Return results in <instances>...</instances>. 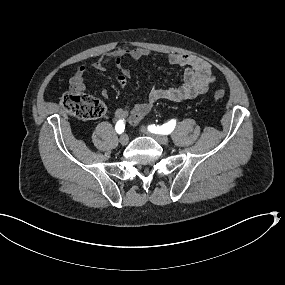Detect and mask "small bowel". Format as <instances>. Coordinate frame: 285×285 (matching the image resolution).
<instances>
[{"mask_svg":"<svg viewBox=\"0 0 285 285\" xmlns=\"http://www.w3.org/2000/svg\"><path fill=\"white\" fill-rule=\"evenodd\" d=\"M149 53V50L140 47H120L100 56L98 60L93 63L92 67L96 71H103L107 64L113 61L120 71L117 81L119 85L124 88L129 78V70L123 65V58L129 57L134 60H139L147 57ZM168 61L172 65L186 68L183 83L176 88H152L145 101L133 106L126 103L117 108L114 112V117L116 119L122 120L129 116V123L136 126L152 110L153 106L158 101L168 100L172 102H181L193 99L206 93L215 80L211 65L200 57L190 54L170 53L168 55ZM86 72L87 69L85 66H80L75 71L70 79L71 91L81 92L85 89ZM101 96L108 98V91L102 89Z\"/></svg>","mask_w":285,"mask_h":285,"instance_id":"c3829d8e","label":"small bowel"}]
</instances>
